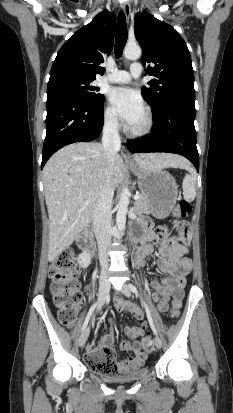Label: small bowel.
<instances>
[{
  "label": "small bowel",
  "instance_id": "obj_1",
  "mask_svg": "<svg viewBox=\"0 0 233 413\" xmlns=\"http://www.w3.org/2000/svg\"><path fill=\"white\" fill-rule=\"evenodd\" d=\"M184 224L186 230L180 231L177 240L171 237L166 226H159L153 229L149 221L145 220L142 223L145 233L142 243L137 249V254L140 259L139 265L144 264L146 258L152 257L155 254L156 247V253L160 257L157 261V266L161 272L167 274V276L162 279H159L156 275L151 279V287L155 290L152 299L161 312L167 311L171 297L173 298V305L177 304L180 306L186 276L191 270V261L185 257L188 253L191 233L188 225L186 223ZM91 293L92 287L90 286L89 295H91ZM115 308L117 311L130 312L139 322V326L137 327L128 326L124 329L126 335L131 338V341H122L120 346L131 352L132 355L128 356L125 360L117 361L119 371H123L144 363L147 354L138 339L144 335L147 329V323L141 308L130 301L118 298L115 302ZM109 323L112 325L113 320L109 319ZM114 338V332L111 328L108 333L101 337L100 343L97 346L92 345L88 347L85 358L88 356H98L101 349H111Z\"/></svg>",
  "mask_w": 233,
  "mask_h": 413
}]
</instances>
